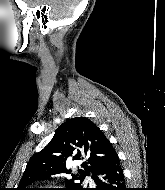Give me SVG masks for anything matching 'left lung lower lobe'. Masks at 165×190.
I'll use <instances>...</instances> for the list:
<instances>
[{
	"label": "left lung lower lobe",
	"mask_w": 165,
	"mask_h": 190,
	"mask_svg": "<svg viewBox=\"0 0 165 190\" xmlns=\"http://www.w3.org/2000/svg\"><path fill=\"white\" fill-rule=\"evenodd\" d=\"M97 187L94 190H126L123 170L117 154L100 166L92 175Z\"/></svg>",
	"instance_id": "1"
}]
</instances>
